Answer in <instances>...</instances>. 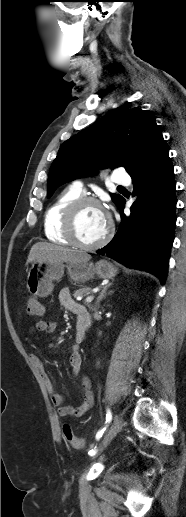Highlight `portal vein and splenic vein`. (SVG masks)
<instances>
[{"mask_svg": "<svg viewBox=\"0 0 186 517\" xmlns=\"http://www.w3.org/2000/svg\"><path fill=\"white\" fill-rule=\"evenodd\" d=\"M93 299H94V296H93V295L88 296V297H86V299H85V303H90V302H92V301H93Z\"/></svg>", "mask_w": 186, "mask_h": 517, "instance_id": "portal-vein-and-splenic-vein-1", "label": "portal vein and splenic vein"}]
</instances>
